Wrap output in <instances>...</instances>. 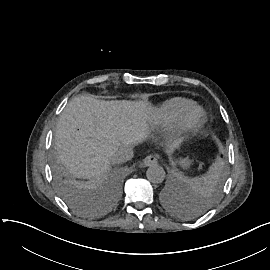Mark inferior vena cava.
<instances>
[{"label": "inferior vena cava", "mask_w": 270, "mask_h": 270, "mask_svg": "<svg viewBox=\"0 0 270 270\" xmlns=\"http://www.w3.org/2000/svg\"><path fill=\"white\" fill-rule=\"evenodd\" d=\"M133 149L131 147H122L114 155L116 163L126 162L133 158Z\"/></svg>", "instance_id": "1"}]
</instances>
